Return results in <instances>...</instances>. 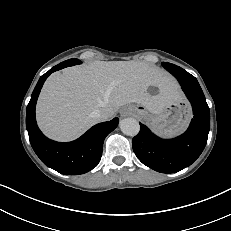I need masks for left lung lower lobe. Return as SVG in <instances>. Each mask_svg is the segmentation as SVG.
Here are the masks:
<instances>
[{
  "mask_svg": "<svg viewBox=\"0 0 231 231\" xmlns=\"http://www.w3.org/2000/svg\"><path fill=\"white\" fill-rule=\"evenodd\" d=\"M179 81L188 97L194 118L187 131L174 139H161L145 125L132 140L137 158L161 173H174L190 166L202 153L210 129V110L197 79L180 67L166 68Z\"/></svg>",
  "mask_w": 231,
  "mask_h": 231,
  "instance_id": "obj_1",
  "label": "left lung lower lobe"
}]
</instances>
